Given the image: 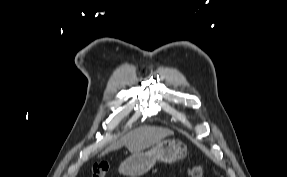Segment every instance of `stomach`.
I'll list each match as a JSON object with an SVG mask.
<instances>
[{
  "label": "stomach",
  "instance_id": "obj_1",
  "mask_svg": "<svg viewBox=\"0 0 287 177\" xmlns=\"http://www.w3.org/2000/svg\"><path fill=\"white\" fill-rule=\"evenodd\" d=\"M187 156V146L178 140H164L147 151L133 153L119 167V172L128 177H139L147 173L160 160L174 163Z\"/></svg>",
  "mask_w": 287,
  "mask_h": 177
}]
</instances>
